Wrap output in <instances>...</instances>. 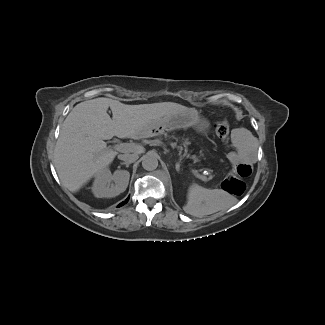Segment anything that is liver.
I'll use <instances>...</instances> for the list:
<instances>
[{"mask_svg": "<svg viewBox=\"0 0 325 325\" xmlns=\"http://www.w3.org/2000/svg\"><path fill=\"white\" fill-rule=\"evenodd\" d=\"M109 107L112 119L107 113ZM179 112L197 113L173 102L126 105L101 97L77 104L63 122L54 150L53 163L62 184L77 192L112 163L118 153L103 140L113 136L145 138L142 131L151 123Z\"/></svg>", "mask_w": 325, "mask_h": 325, "instance_id": "6515ba94", "label": "liver"}]
</instances>
